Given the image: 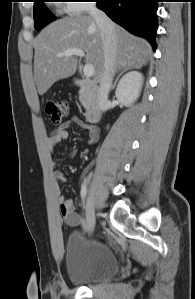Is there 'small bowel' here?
<instances>
[{
	"label": "small bowel",
	"instance_id": "small-bowel-1",
	"mask_svg": "<svg viewBox=\"0 0 195 299\" xmlns=\"http://www.w3.org/2000/svg\"><path fill=\"white\" fill-rule=\"evenodd\" d=\"M71 125H77L81 128H84L89 133V143L93 144L98 139V132L95 128L85 124L83 121H81L77 117H73L71 121L63 123L59 127L55 128L49 139H48V146L51 150H53L60 142L68 138V129ZM52 166L55 165L54 161L51 162ZM53 177L56 182L55 185V192L57 194L58 198V204H59V212L64 220V222L71 227L79 226L84 222V217L82 214L76 213L73 209V203L71 200L66 198L62 193L59 186L60 182H63L66 180L65 175L57 169H53Z\"/></svg>",
	"mask_w": 195,
	"mask_h": 299
}]
</instances>
